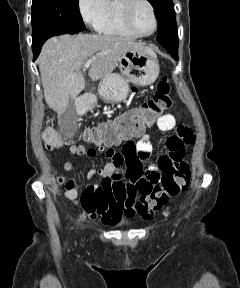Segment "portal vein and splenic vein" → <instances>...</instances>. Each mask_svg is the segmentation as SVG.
<instances>
[{"instance_id": "1", "label": "portal vein and splenic vein", "mask_w": 240, "mask_h": 288, "mask_svg": "<svg viewBox=\"0 0 240 288\" xmlns=\"http://www.w3.org/2000/svg\"><path fill=\"white\" fill-rule=\"evenodd\" d=\"M91 64H92V60H88L87 62H85L84 69H88Z\"/></svg>"}]
</instances>
